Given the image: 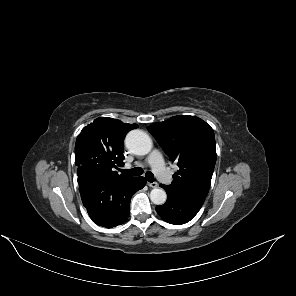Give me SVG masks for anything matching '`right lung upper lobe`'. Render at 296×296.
Masks as SVG:
<instances>
[{"label": "right lung upper lobe", "mask_w": 296, "mask_h": 296, "mask_svg": "<svg viewBox=\"0 0 296 296\" xmlns=\"http://www.w3.org/2000/svg\"><path fill=\"white\" fill-rule=\"evenodd\" d=\"M137 124L100 117L84 127L75 144V164L97 179L115 182L131 177L119 175L113 168L123 166V139Z\"/></svg>", "instance_id": "cb5924a9"}]
</instances>
